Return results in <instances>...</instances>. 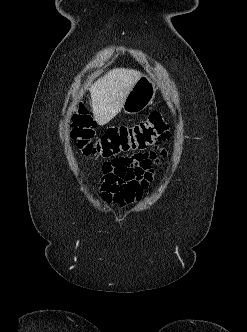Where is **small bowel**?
<instances>
[{
  "mask_svg": "<svg viewBox=\"0 0 247 332\" xmlns=\"http://www.w3.org/2000/svg\"><path fill=\"white\" fill-rule=\"evenodd\" d=\"M164 151L156 148L132 156L118 157L102 165L100 181L102 199L119 207L131 204L142 197L154 177V166Z\"/></svg>",
  "mask_w": 247,
  "mask_h": 332,
  "instance_id": "1",
  "label": "small bowel"
}]
</instances>
